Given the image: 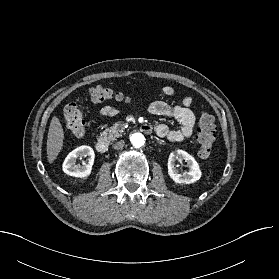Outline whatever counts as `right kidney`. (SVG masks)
Returning <instances> with one entry per match:
<instances>
[{"label":"right kidney","instance_id":"1","mask_svg":"<svg viewBox=\"0 0 279 279\" xmlns=\"http://www.w3.org/2000/svg\"><path fill=\"white\" fill-rule=\"evenodd\" d=\"M83 156L88 157L87 162L82 166L76 165V159ZM94 157V150L90 146H80L67 155L63 162V171L70 176L85 178L91 174Z\"/></svg>","mask_w":279,"mask_h":279}]
</instances>
